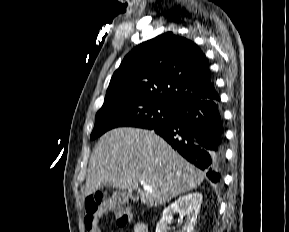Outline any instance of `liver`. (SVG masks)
I'll return each instance as SVG.
<instances>
[{"label": "liver", "mask_w": 289, "mask_h": 232, "mask_svg": "<svg viewBox=\"0 0 289 232\" xmlns=\"http://www.w3.org/2000/svg\"><path fill=\"white\" fill-rule=\"evenodd\" d=\"M203 180V173L154 131L123 127L105 133L95 145L83 194L104 186L137 190L141 203L157 207L196 189ZM141 183L152 191L141 190Z\"/></svg>", "instance_id": "1"}]
</instances>
